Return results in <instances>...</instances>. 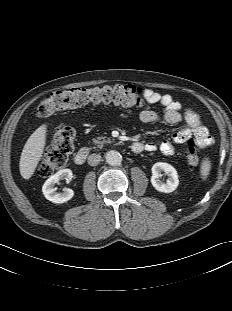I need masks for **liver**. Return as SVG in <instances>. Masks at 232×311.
Instances as JSON below:
<instances>
[{
	"label": "liver",
	"instance_id": "obj_1",
	"mask_svg": "<svg viewBox=\"0 0 232 311\" xmlns=\"http://www.w3.org/2000/svg\"><path fill=\"white\" fill-rule=\"evenodd\" d=\"M47 125L37 128L28 138L20 156L19 170L24 179H30L41 160L46 144Z\"/></svg>",
	"mask_w": 232,
	"mask_h": 311
}]
</instances>
